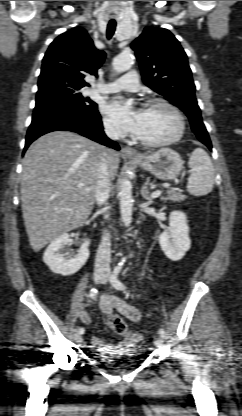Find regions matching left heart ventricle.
Segmentation results:
<instances>
[{
	"label": "left heart ventricle",
	"instance_id": "b2bd125f",
	"mask_svg": "<svg viewBox=\"0 0 242 416\" xmlns=\"http://www.w3.org/2000/svg\"><path fill=\"white\" fill-rule=\"evenodd\" d=\"M177 119L167 108H145L141 111L136 136L147 141H161L173 136L177 130Z\"/></svg>",
	"mask_w": 242,
	"mask_h": 416
}]
</instances>
